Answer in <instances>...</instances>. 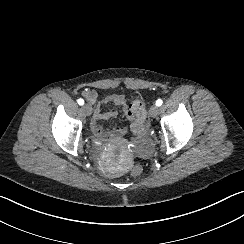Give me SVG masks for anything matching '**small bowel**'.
Returning <instances> with one entry per match:
<instances>
[{"label":"small bowel","instance_id":"small-bowel-1","mask_svg":"<svg viewBox=\"0 0 244 244\" xmlns=\"http://www.w3.org/2000/svg\"><path fill=\"white\" fill-rule=\"evenodd\" d=\"M84 98L92 104L93 119L92 128L101 139H109L112 137H121L126 135L133 127L135 117L133 112L128 109L125 98L120 94H109L103 98V104L113 103L122 108L123 117L125 118L127 125L124 126H110L107 129H103L101 122L104 120H110L116 117L115 110L102 111L100 108L101 103L97 100V94L94 90L86 89L83 91ZM144 136V135H143ZM143 136L139 138H143ZM139 152L143 157L148 158L152 154V150L147 144L142 143L138 147Z\"/></svg>","mask_w":244,"mask_h":244}]
</instances>
